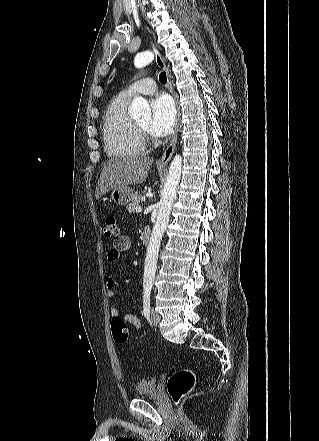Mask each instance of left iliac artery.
<instances>
[{
	"mask_svg": "<svg viewBox=\"0 0 319 441\" xmlns=\"http://www.w3.org/2000/svg\"><path fill=\"white\" fill-rule=\"evenodd\" d=\"M150 294L151 291L150 290H144V295H143V314L145 317H149L150 315Z\"/></svg>",
	"mask_w": 319,
	"mask_h": 441,
	"instance_id": "obj_1",
	"label": "left iliac artery"
}]
</instances>
